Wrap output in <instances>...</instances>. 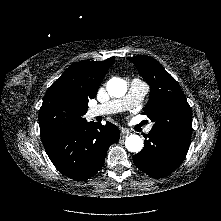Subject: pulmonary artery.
I'll return each instance as SVG.
<instances>
[{"instance_id": "pulmonary-artery-1", "label": "pulmonary artery", "mask_w": 221, "mask_h": 221, "mask_svg": "<svg viewBox=\"0 0 221 221\" xmlns=\"http://www.w3.org/2000/svg\"><path fill=\"white\" fill-rule=\"evenodd\" d=\"M148 92V86L138 79H134L126 96L120 99L112 100L103 104H99L89 109V116L95 117L128 110L138 105ZM152 126L146 128V132L151 131Z\"/></svg>"}]
</instances>
